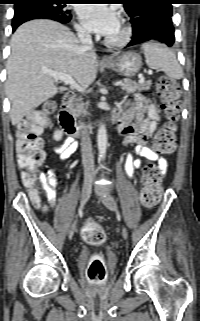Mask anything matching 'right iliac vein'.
<instances>
[{
  "instance_id": "1",
  "label": "right iliac vein",
  "mask_w": 200,
  "mask_h": 321,
  "mask_svg": "<svg viewBox=\"0 0 200 321\" xmlns=\"http://www.w3.org/2000/svg\"><path fill=\"white\" fill-rule=\"evenodd\" d=\"M92 181H93L92 175H88L85 179L82 193H81V199H80L81 206H83L89 199V196L91 194ZM75 230H76V220L70 226L69 238H71L74 235Z\"/></svg>"
}]
</instances>
